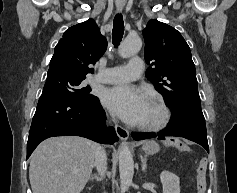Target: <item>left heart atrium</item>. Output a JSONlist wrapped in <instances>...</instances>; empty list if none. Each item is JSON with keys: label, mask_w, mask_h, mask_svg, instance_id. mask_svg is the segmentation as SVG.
<instances>
[{"label": "left heart atrium", "mask_w": 237, "mask_h": 193, "mask_svg": "<svg viewBox=\"0 0 237 193\" xmlns=\"http://www.w3.org/2000/svg\"><path fill=\"white\" fill-rule=\"evenodd\" d=\"M103 103L124 121L140 123L148 103L146 94L130 84H119L105 90Z\"/></svg>", "instance_id": "left-heart-atrium-1"}]
</instances>
